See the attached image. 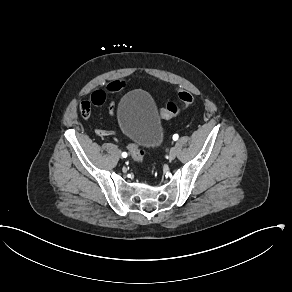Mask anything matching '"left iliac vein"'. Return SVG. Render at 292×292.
<instances>
[{"label":"left iliac vein","mask_w":292,"mask_h":292,"mask_svg":"<svg viewBox=\"0 0 292 292\" xmlns=\"http://www.w3.org/2000/svg\"><path fill=\"white\" fill-rule=\"evenodd\" d=\"M177 154L176 148H171L170 153H169V159L174 160Z\"/></svg>","instance_id":"4c4485c4"}]
</instances>
